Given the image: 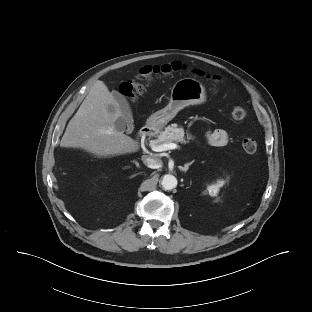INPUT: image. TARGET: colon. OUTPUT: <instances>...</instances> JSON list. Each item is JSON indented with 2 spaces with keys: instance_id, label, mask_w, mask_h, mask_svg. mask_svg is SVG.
I'll use <instances>...</instances> for the list:
<instances>
[{
  "instance_id": "5ec220e1",
  "label": "colon",
  "mask_w": 312,
  "mask_h": 312,
  "mask_svg": "<svg viewBox=\"0 0 312 312\" xmlns=\"http://www.w3.org/2000/svg\"><path fill=\"white\" fill-rule=\"evenodd\" d=\"M183 70V66L174 62L171 64L145 66L136 74V76L120 86V92L123 96L136 101L145 92L146 84L159 78H168L174 73ZM192 73L199 77H206L202 71L193 70ZM247 117V110L241 104H234L230 108V118L234 122H241ZM242 149L248 153L253 154L258 149L257 141L252 137H246L242 140Z\"/></svg>"
}]
</instances>
